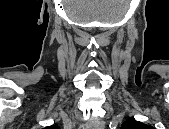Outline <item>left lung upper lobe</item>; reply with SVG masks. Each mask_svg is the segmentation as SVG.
Wrapping results in <instances>:
<instances>
[{
  "instance_id": "5c2ea615",
  "label": "left lung upper lobe",
  "mask_w": 169,
  "mask_h": 129,
  "mask_svg": "<svg viewBox=\"0 0 169 129\" xmlns=\"http://www.w3.org/2000/svg\"><path fill=\"white\" fill-rule=\"evenodd\" d=\"M122 129H150L149 125H145L142 122L136 120H127L122 124Z\"/></svg>"
}]
</instances>
